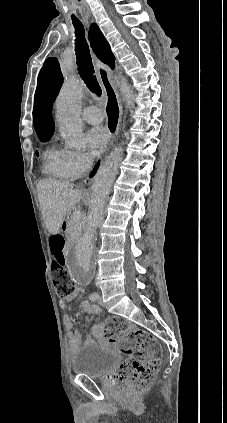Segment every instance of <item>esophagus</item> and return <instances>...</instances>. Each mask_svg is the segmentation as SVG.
Here are the masks:
<instances>
[{"label":"esophagus","instance_id":"obj_1","mask_svg":"<svg viewBox=\"0 0 227 423\" xmlns=\"http://www.w3.org/2000/svg\"><path fill=\"white\" fill-rule=\"evenodd\" d=\"M96 70L105 92V112L107 116V125L113 134L114 131H116L118 128L117 125L119 124L121 117L120 98L111 81V69L101 61L97 60Z\"/></svg>","mask_w":227,"mask_h":423}]
</instances>
